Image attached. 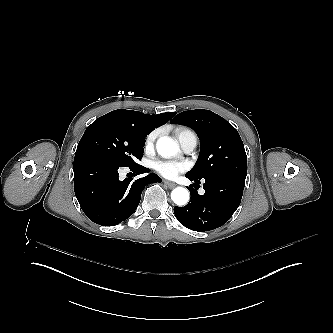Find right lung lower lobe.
<instances>
[{"instance_id": "right-lung-lower-lobe-1", "label": "right lung lower lobe", "mask_w": 333, "mask_h": 333, "mask_svg": "<svg viewBox=\"0 0 333 333\" xmlns=\"http://www.w3.org/2000/svg\"><path fill=\"white\" fill-rule=\"evenodd\" d=\"M120 166L93 151H76L74 158V191L87 217L102 226H115L129 218L136 210L141 193L147 184L161 182L155 173L132 182L120 181ZM136 175L149 173L137 165L130 167Z\"/></svg>"}]
</instances>
